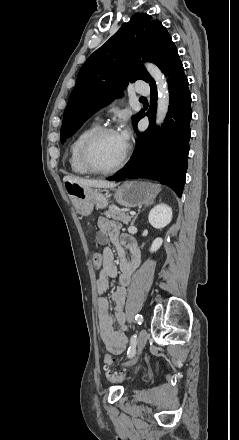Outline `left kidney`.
<instances>
[{"instance_id":"left-kidney-1","label":"left kidney","mask_w":239,"mask_h":440,"mask_svg":"<svg viewBox=\"0 0 239 440\" xmlns=\"http://www.w3.org/2000/svg\"><path fill=\"white\" fill-rule=\"evenodd\" d=\"M171 220L172 208H169L167 204H158V206H154L149 214V224H151L153 228H157V230H161V228L168 226ZM162 244V238H156V240H153L152 242L150 252H157Z\"/></svg>"}]
</instances>
